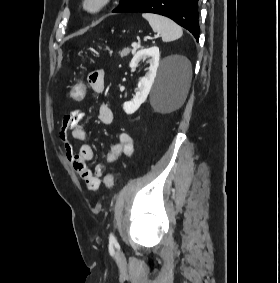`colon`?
I'll return each instance as SVG.
<instances>
[{
  "label": "colon",
  "instance_id": "obj_1",
  "mask_svg": "<svg viewBox=\"0 0 280 283\" xmlns=\"http://www.w3.org/2000/svg\"><path fill=\"white\" fill-rule=\"evenodd\" d=\"M87 81L88 78L85 75H82L76 80L75 84H72V87H70L69 90L70 102H84L85 99H87V92L91 91ZM104 181L105 186L110 189L114 182L113 174H107Z\"/></svg>",
  "mask_w": 280,
  "mask_h": 283
}]
</instances>
